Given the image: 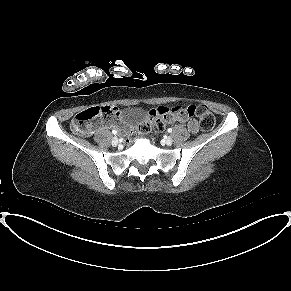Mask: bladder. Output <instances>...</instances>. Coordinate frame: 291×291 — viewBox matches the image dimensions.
I'll list each match as a JSON object with an SVG mask.
<instances>
[{
  "mask_svg": "<svg viewBox=\"0 0 291 291\" xmlns=\"http://www.w3.org/2000/svg\"><path fill=\"white\" fill-rule=\"evenodd\" d=\"M143 113L138 108H128L122 114V121L125 124H136L142 117Z\"/></svg>",
  "mask_w": 291,
  "mask_h": 291,
  "instance_id": "bladder-1",
  "label": "bladder"
}]
</instances>
